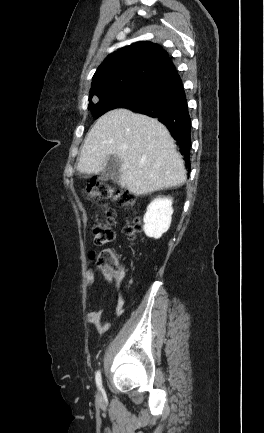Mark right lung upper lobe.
<instances>
[{
  "label": "right lung upper lobe",
  "mask_w": 264,
  "mask_h": 433,
  "mask_svg": "<svg viewBox=\"0 0 264 433\" xmlns=\"http://www.w3.org/2000/svg\"><path fill=\"white\" fill-rule=\"evenodd\" d=\"M168 59L166 51L158 44L148 41L120 48L110 54L96 70L89 99L143 84Z\"/></svg>",
  "instance_id": "1"
}]
</instances>
